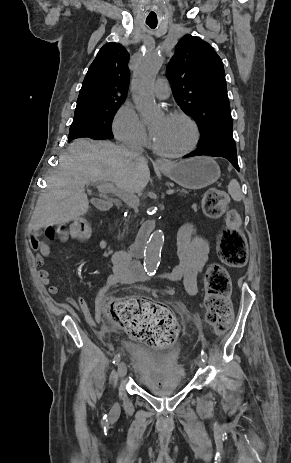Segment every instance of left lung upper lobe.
I'll list each match as a JSON object with an SVG mask.
<instances>
[{"instance_id": "1", "label": "left lung upper lobe", "mask_w": 291, "mask_h": 463, "mask_svg": "<svg viewBox=\"0 0 291 463\" xmlns=\"http://www.w3.org/2000/svg\"><path fill=\"white\" fill-rule=\"evenodd\" d=\"M174 98L199 126V148L236 151L221 58L207 42L186 35L167 67Z\"/></svg>"}]
</instances>
